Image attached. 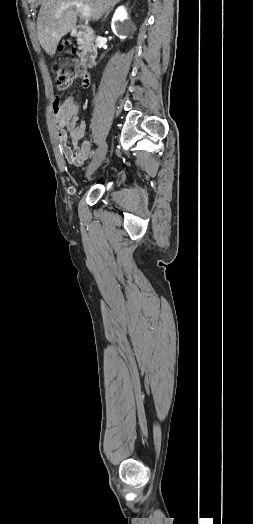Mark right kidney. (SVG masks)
<instances>
[{"label": "right kidney", "instance_id": "1", "mask_svg": "<svg viewBox=\"0 0 253 524\" xmlns=\"http://www.w3.org/2000/svg\"><path fill=\"white\" fill-rule=\"evenodd\" d=\"M127 19V13L124 8V6H120L115 11L112 22H111V28L114 34L120 37V39H124L125 36V30H124V20Z\"/></svg>", "mask_w": 253, "mask_h": 524}]
</instances>
